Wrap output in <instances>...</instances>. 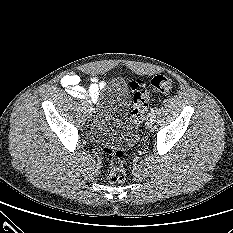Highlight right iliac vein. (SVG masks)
<instances>
[{
  "label": "right iliac vein",
  "instance_id": "obj_1",
  "mask_svg": "<svg viewBox=\"0 0 233 233\" xmlns=\"http://www.w3.org/2000/svg\"><path fill=\"white\" fill-rule=\"evenodd\" d=\"M87 116L91 117L93 115V108L90 105H87L85 108Z\"/></svg>",
  "mask_w": 233,
  "mask_h": 233
}]
</instances>
